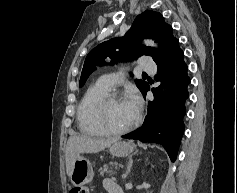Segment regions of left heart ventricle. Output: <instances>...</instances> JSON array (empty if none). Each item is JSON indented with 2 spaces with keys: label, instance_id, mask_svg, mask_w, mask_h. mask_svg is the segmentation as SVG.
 <instances>
[{
  "label": "left heart ventricle",
  "instance_id": "b2bd125f",
  "mask_svg": "<svg viewBox=\"0 0 237 193\" xmlns=\"http://www.w3.org/2000/svg\"><path fill=\"white\" fill-rule=\"evenodd\" d=\"M135 117L127 101L120 100L109 105L105 121L111 128L118 130L131 124Z\"/></svg>",
  "mask_w": 237,
  "mask_h": 193
}]
</instances>
